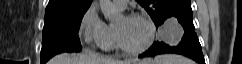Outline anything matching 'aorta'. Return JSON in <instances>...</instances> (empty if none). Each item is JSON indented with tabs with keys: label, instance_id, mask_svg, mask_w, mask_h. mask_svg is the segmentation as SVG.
<instances>
[{
	"label": "aorta",
	"instance_id": "aorta-1",
	"mask_svg": "<svg viewBox=\"0 0 242 64\" xmlns=\"http://www.w3.org/2000/svg\"><path fill=\"white\" fill-rule=\"evenodd\" d=\"M100 9L105 19L109 21L116 20L120 16L119 10L111 0H99Z\"/></svg>",
	"mask_w": 242,
	"mask_h": 64
}]
</instances>
